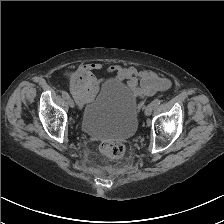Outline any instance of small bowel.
<instances>
[{
  "mask_svg": "<svg viewBox=\"0 0 224 224\" xmlns=\"http://www.w3.org/2000/svg\"><path fill=\"white\" fill-rule=\"evenodd\" d=\"M83 68L90 71H100L103 67L99 63H88ZM106 71L115 74L118 80H126L128 89L135 99H142L157 92L165 91L171 85L167 78L150 70L113 65L108 67Z\"/></svg>",
  "mask_w": 224,
  "mask_h": 224,
  "instance_id": "c3829d8e",
  "label": "small bowel"
}]
</instances>
